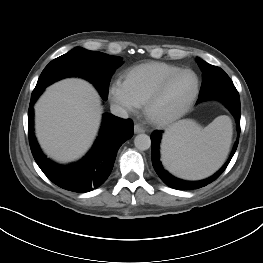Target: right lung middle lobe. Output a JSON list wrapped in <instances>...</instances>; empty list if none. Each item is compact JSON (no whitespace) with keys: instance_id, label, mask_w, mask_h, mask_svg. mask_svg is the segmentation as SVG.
I'll use <instances>...</instances> for the list:
<instances>
[{"instance_id":"1","label":"right lung middle lobe","mask_w":263,"mask_h":263,"mask_svg":"<svg viewBox=\"0 0 263 263\" xmlns=\"http://www.w3.org/2000/svg\"><path fill=\"white\" fill-rule=\"evenodd\" d=\"M121 64V57L77 47L51 61L42 71L34 90L42 91L59 79L78 76L93 83L106 100L112 74Z\"/></svg>"}]
</instances>
